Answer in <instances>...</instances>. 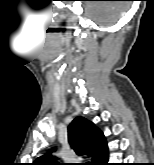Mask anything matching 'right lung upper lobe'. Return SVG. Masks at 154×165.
I'll list each match as a JSON object with an SVG mask.
<instances>
[{"mask_svg":"<svg viewBox=\"0 0 154 165\" xmlns=\"http://www.w3.org/2000/svg\"><path fill=\"white\" fill-rule=\"evenodd\" d=\"M68 140L78 155L97 156L102 144L106 141L104 134L94 123L84 117H76L68 127ZM51 152L38 157L33 165H62L56 161Z\"/></svg>","mask_w":154,"mask_h":165,"instance_id":"right-lung-upper-lobe-1","label":"right lung upper lobe"}]
</instances>
